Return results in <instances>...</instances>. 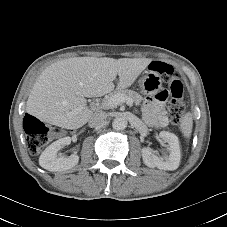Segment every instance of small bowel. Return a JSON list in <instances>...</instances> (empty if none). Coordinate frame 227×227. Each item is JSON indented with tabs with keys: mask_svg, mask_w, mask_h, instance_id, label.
<instances>
[{
	"mask_svg": "<svg viewBox=\"0 0 227 227\" xmlns=\"http://www.w3.org/2000/svg\"><path fill=\"white\" fill-rule=\"evenodd\" d=\"M170 96V91L160 88L154 95V98H147L145 101V111L149 122L156 126H165L168 122L164 103Z\"/></svg>",
	"mask_w": 227,
	"mask_h": 227,
	"instance_id": "small-bowel-1",
	"label": "small bowel"
}]
</instances>
